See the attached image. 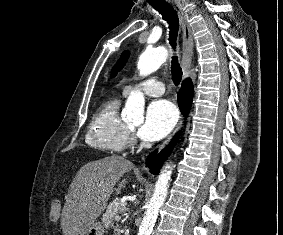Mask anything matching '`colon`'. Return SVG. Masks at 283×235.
<instances>
[{
  "instance_id": "colon-1",
  "label": "colon",
  "mask_w": 283,
  "mask_h": 235,
  "mask_svg": "<svg viewBox=\"0 0 283 235\" xmlns=\"http://www.w3.org/2000/svg\"><path fill=\"white\" fill-rule=\"evenodd\" d=\"M61 203L59 200H54L51 205L50 215L56 219L60 214Z\"/></svg>"
}]
</instances>
